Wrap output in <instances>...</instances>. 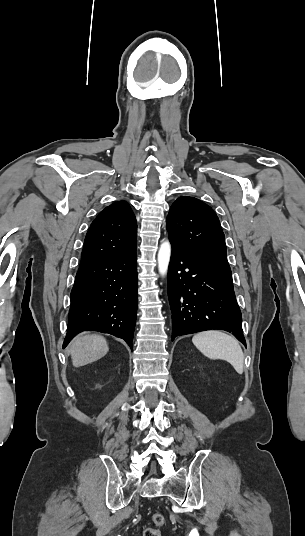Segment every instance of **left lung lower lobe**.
Listing matches in <instances>:
<instances>
[{"mask_svg": "<svg viewBox=\"0 0 305 536\" xmlns=\"http://www.w3.org/2000/svg\"><path fill=\"white\" fill-rule=\"evenodd\" d=\"M172 340L205 330H226L246 347L229 264L187 254L172 245L168 270Z\"/></svg>", "mask_w": 305, "mask_h": 536, "instance_id": "obj_1", "label": "left lung lower lobe"}]
</instances>
